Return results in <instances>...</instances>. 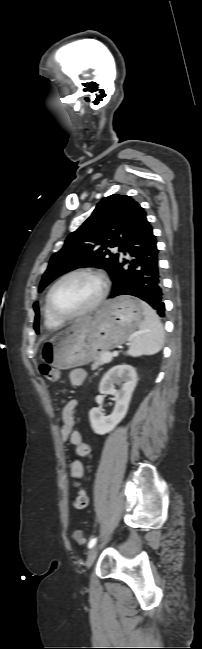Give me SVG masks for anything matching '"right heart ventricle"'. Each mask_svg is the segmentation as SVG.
<instances>
[{"label":"right heart ventricle","mask_w":202,"mask_h":649,"mask_svg":"<svg viewBox=\"0 0 202 649\" xmlns=\"http://www.w3.org/2000/svg\"><path fill=\"white\" fill-rule=\"evenodd\" d=\"M43 322L44 325L49 329L59 328L63 322L55 319L48 311L47 304L45 302L43 306Z\"/></svg>","instance_id":"right-heart-ventricle-1"}]
</instances>
